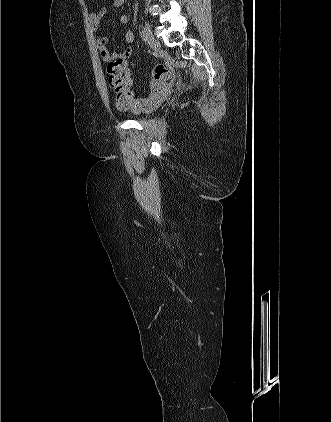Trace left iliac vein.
Wrapping results in <instances>:
<instances>
[{
	"label": "left iliac vein",
	"mask_w": 331,
	"mask_h": 422,
	"mask_svg": "<svg viewBox=\"0 0 331 422\" xmlns=\"http://www.w3.org/2000/svg\"><path fill=\"white\" fill-rule=\"evenodd\" d=\"M148 44L155 52H158L161 48L160 42L154 37L151 32H148Z\"/></svg>",
	"instance_id": "4c4485c4"
}]
</instances>
